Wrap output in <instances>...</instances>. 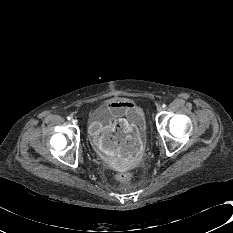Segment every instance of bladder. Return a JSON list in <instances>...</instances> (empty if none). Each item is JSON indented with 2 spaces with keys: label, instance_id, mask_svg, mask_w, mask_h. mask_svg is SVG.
I'll list each match as a JSON object with an SVG mask.
<instances>
[{
  "label": "bladder",
  "instance_id": "31cf9c89",
  "mask_svg": "<svg viewBox=\"0 0 233 233\" xmlns=\"http://www.w3.org/2000/svg\"><path fill=\"white\" fill-rule=\"evenodd\" d=\"M91 119L92 121H97L99 124L109 125L112 120V115L107 107L101 106L94 111Z\"/></svg>",
  "mask_w": 233,
  "mask_h": 233
}]
</instances>
